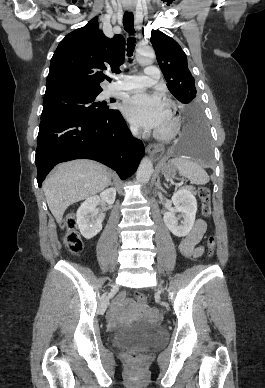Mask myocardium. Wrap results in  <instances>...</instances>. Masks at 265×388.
Wrapping results in <instances>:
<instances>
[{"label": "myocardium", "mask_w": 265, "mask_h": 388, "mask_svg": "<svg viewBox=\"0 0 265 388\" xmlns=\"http://www.w3.org/2000/svg\"><path fill=\"white\" fill-rule=\"evenodd\" d=\"M180 125H181L180 118L170 112L167 120V124L163 128H157L154 134L160 140H170L174 137Z\"/></svg>", "instance_id": "1"}]
</instances>
